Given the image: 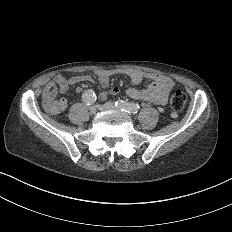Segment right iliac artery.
<instances>
[{
	"instance_id": "82829eb1",
	"label": "right iliac artery",
	"mask_w": 232,
	"mask_h": 232,
	"mask_svg": "<svg viewBox=\"0 0 232 232\" xmlns=\"http://www.w3.org/2000/svg\"><path fill=\"white\" fill-rule=\"evenodd\" d=\"M82 101L86 104H92L96 101V94L93 90H86L82 94Z\"/></svg>"
}]
</instances>
